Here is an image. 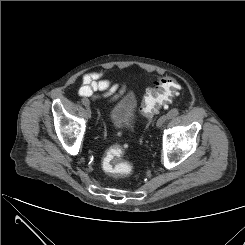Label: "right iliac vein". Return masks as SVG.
Listing matches in <instances>:
<instances>
[{
    "mask_svg": "<svg viewBox=\"0 0 245 245\" xmlns=\"http://www.w3.org/2000/svg\"><path fill=\"white\" fill-rule=\"evenodd\" d=\"M82 103H83V105H85L87 107L88 111H90L89 110V107H90L89 100L84 98V99H82ZM88 117H90V113H88Z\"/></svg>",
    "mask_w": 245,
    "mask_h": 245,
    "instance_id": "obj_1",
    "label": "right iliac vein"
}]
</instances>
